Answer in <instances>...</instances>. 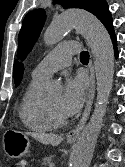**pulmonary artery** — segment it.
<instances>
[{"label":"pulmonary artery","instance_id":"e3ab8cb5","mask_svg":"<svg viewBox=\"0 0 125 167\" xmlns=\"http://www.w3.org/2000/svg\"><path fill=\"white\" fill-rule=\"evenodd\" d=\"M78 47L79 44L73 40L61 43L37 64L32 71V77L46 80L54 72L67 67Z\"/></svg>","mask_w":125,"mask_h":167}]
</instances>
